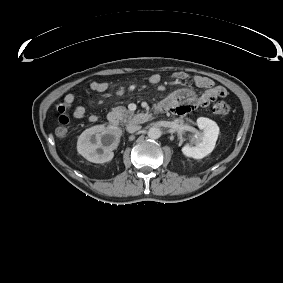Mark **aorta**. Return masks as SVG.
I'll return each mask as SVG.
<instances>
[{"label":"aorta","mask_w":283,"mask_h":283,"mask_svg":"<svg viewBox=\"0 0 283 283\" xmlns=\"http://www.w3.org/2000/svg\"><path fill=\"white\" fill-rule=\"evenodd\" d=\"M147 135L150 139H158L161 136V130L158 127L149 128Z\"/></svg>","instance_id":"1"}]
</instances>
